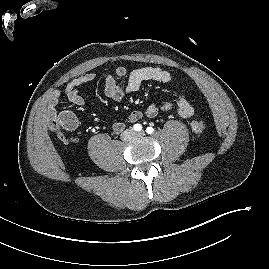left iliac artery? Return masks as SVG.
Here are the masks:
<instances>
[{
  "mask_svg": "<svg viewBox=\"0 0 269 269\" xmlns=\"http://www.w3.org/2000/svg\"><path fill=\"white\" fill-rule=\"evenodd\" d=\"M146 132L148 134H152L154 132V129L152 127H147Z\"/></svg>",
  "mask_w": 269,
  "mask_h": 269,
  "instance_id": "obj_1",
  "label": "left iliac artery"
}]
</instances>
